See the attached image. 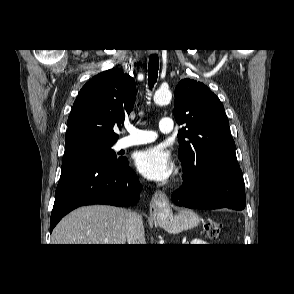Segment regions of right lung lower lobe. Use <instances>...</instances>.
Listing matches in <instances>:
<instances>
[{
	"label": "right lung lower lobe",
	"instance_id": "right-lung-lower-lobe-1",
	"mask_svg": "<svg viewBox=\"0 0 294 294\" xmlns=\"http://www.w3.org/2000/svg\"><path fill=\"white\" fill-rule=\"evenodd\" d=\"M141 185L128 160L110 163L84 158L62 164L50 218V232L67 213L91 204L129 206L139 198Z\"/></svg>",
	"mask_w": 294,
	"mask_h": 294
}]
</instances>
